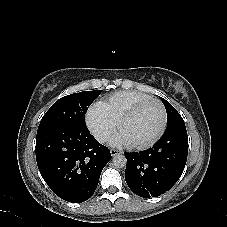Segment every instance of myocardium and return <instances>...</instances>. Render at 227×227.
<instances>
[{"instance_id": "myocardium-1", "label": "myocardium", "mask_w": 227, "mask_h": 227, "mask_svg": "<svg viewBox=\"0 0 227 227\" xmlns=\"http://www.w3.org/2000/svg\"><path fill=\"white\" fill-rule=\"evenodd\" d=\"M149 102H155L160 106L161 111H162L161 126H160L159 130L157 131V133L150 140H148L144 143L131 144L132 148L143 150V149L152 147L154 144H156L161 139V137L163 136V134L167 128L168 114H167V109H166L164 103L158 98L149 97L148 99L143 100V101L137 103L136 105H134L130 110H128L125 114H123L119 118V120L117 122L118 131L120 132L123 125L125 123H127L128 121H130L138 113V111Z\"/></svg>"}]
</instances>
